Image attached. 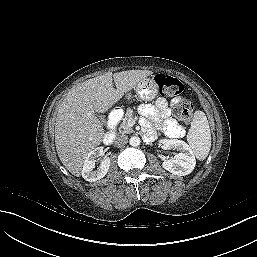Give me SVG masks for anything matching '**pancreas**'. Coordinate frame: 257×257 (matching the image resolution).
<instances>
[{
  "mask_svg": "<svg viewBox=\"0 0 257 257\" xmlns=\"http://www.w3.org/2000/svg\"><path fill=\"white\" fill-rule=\"evenodd\" d=\"M133 116V111L132 109H127L125 118L123 119V122L121 123L119 127V132L122 134H129L133 132V129L131 126H129L128 121L131 119Z\"/></svg>",
  "mask_w": 257,
  "mask_h": 257,
  "instance_id": "pancreas-1",
  "label": "pancreas"
}]
</instances>
